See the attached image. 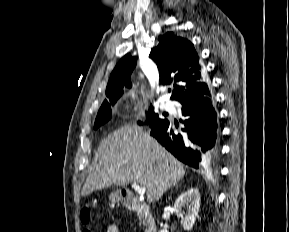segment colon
I'll return each instance as SVG.
<instances>
[{
  "instance_id": "obj_1",
  "label": "colon",
  "mask_w": 289,
  "mask_h": 232,
  "mask_svg": "<svg viewBox=\"0 0 289 232\" xmlns=\"http://www.w3.org/2000/svg\"><path fill=\"white\" fill-rule=\"evenodd\" d=\"M81 220L84 224H88L91 220V212L89 209H84L81 212ZM83 232H93V230L89 227L85 228Z\"/></svg>"
}]
</instances>
